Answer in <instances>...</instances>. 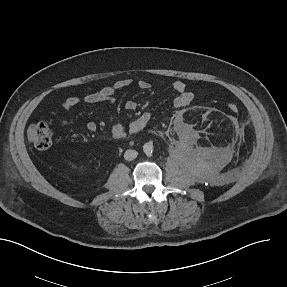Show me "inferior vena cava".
I'll return each instance as SVG.
<instances>
[{"label": "inferior vena cava", "instance_id": "obj_1", "mask_svg": "<svg viewBox=\"0 0 287 287\" xmlns=\"http://www.w3.org/2000/svg\"><path fill=\"white\" fill-rule=\"evenodd\" d=\"M137 156H138V152L132 149L126 150L124 153V158L127 161L134 160Z\"/></svg>", "mask_w": 287, "mask_h": 287}]
</instances>
